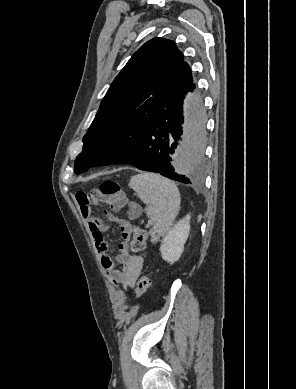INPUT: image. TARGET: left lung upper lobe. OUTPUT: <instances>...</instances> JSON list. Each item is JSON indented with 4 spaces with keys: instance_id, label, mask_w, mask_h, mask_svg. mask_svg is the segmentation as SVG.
Returning a JSON list of instances; mask_svg holds the SVG:
<instances>
[{
    "instance_id": "5c2ea615",
    "label": "left lung upper lobe",
    "mask_w": 296,
    "mask_h": 389,
    "mask_svg": "<svg viewBox=\"0 0 296 389\" xmlns=\"http://www.w3.org/2000/svg\"><path fill=\"white\" fill-rule=\"evenodd\" d=\"M183 54L171 40L154 38L141 46L111 84L83 139V151L74 164L76 174L98 166L97 147L130 113L152 100L166 81L188 72Z\"/></svg>"
}]
</instances>
